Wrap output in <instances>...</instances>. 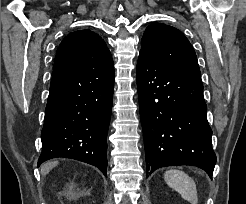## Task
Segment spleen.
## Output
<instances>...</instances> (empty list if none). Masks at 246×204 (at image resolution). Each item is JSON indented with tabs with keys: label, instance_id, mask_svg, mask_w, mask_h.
Returning a JSON list of instances; mask_svg holds the SVG:
<instances>
[{
	"label": "spleen",
	"instance_id": "1",
	"mask_svg": "<svg viewBox=\"0 0 246 204\" xmlns=\"http://www.w3.org/2000/svg\"><path fill=\"white\" fill-rule=\"evenodd\" d=\"M165 182L181 194L190 204H198L195 181L184 171L171 169L164 173Z\"/></svg>",
	"mask_w": 246,
	"mask_h": 204
}]
</instances>
